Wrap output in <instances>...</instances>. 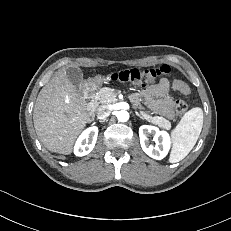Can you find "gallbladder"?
<instances>
[{"instance_id": "1", "label": "gallbladder", "mask_w": 231, "mask_h": 231, "mask_svg": "<svg viewBox=\"0 0 231 231\" xmlns=\"http://www.w3.org/2000/svg\"><path fill=\"white\" fill-rule=\"evenodd\" d=\"M66 75L71 84L74 86L76 90H79L82 82H83V73L79 68H68L66 70Z\"/></svg>"}]
</instances>
